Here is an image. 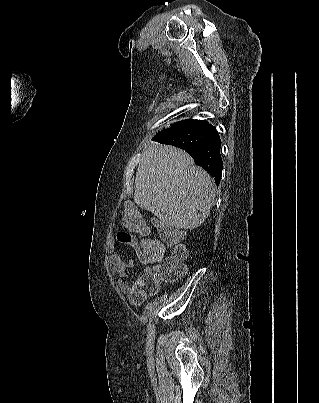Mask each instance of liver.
<instances>
[{
    "label": "liver",
    "mask_w": 319,
    "mask_h": 403,
    "mask_svg": "<svg viewBox=\"0 0 319 403\" xmlns=\"http://www.w3.org/2000/svg\"><path fill=\"white\" fill-rule=\"evenodd\" d=\"M133 199L164 224L191 230L208 217L215 186L210 175L196 166L188 153L151 142L136 172Z\"/></svg>",
    "instance_id": "liver-1"
}]
</instances>
